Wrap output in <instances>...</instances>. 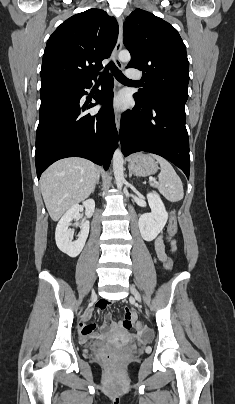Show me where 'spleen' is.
Here are the masks:
<instances>
[{"instance_id":"obj_1","label":"spleen","mask_w":235,"mask_h":404,"mask_svg":"<svg viewBox=\"0 0 235 404\" xmlns=\"http://www.w3.org/2000/svg\"><path fill=\"white\" fill-rule=\"evenodd\" d=\"M160 164L161 171L158 175V187L160 193L171 202H178L184 197L183 184L172 165L158 155H152Z\"/></svg>"}]
</instances>
